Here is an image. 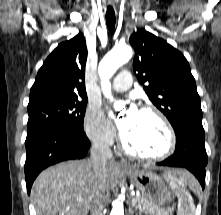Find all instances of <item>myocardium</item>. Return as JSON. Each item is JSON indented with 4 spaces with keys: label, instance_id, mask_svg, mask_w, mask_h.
I'll return each instance as SVG.
<instances>
[{
    "label": "myocardium",
    "instance_id": "f54148a6",
    "mask_svg": "<svg viewBox=\"0 0 221 215\" xmlns=\"http://www.w3.org/2000/svg\"><path fill=\"white\" fill-rule=\"evenodd\" d=\"M141 112H149L154 114L162 123L166 134H167V146L164 151H162L159 154L156 155H145V154H140L137 152L132 151L128 146L126 145L124 138L122 134L120 135V146L122 150L129 156L139 159V160H144V161H150V162H155V161H161L166 158H168L175 150L176 147V135L174 128L167 118V116L157 107L153 105H144L140 108Z\"/></svg>",
    "mask_w": 221,
    "mask_h": 215
}]
</instances>
